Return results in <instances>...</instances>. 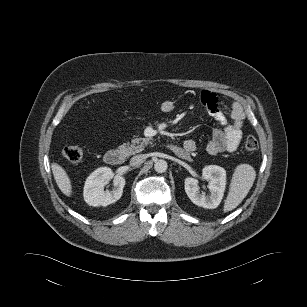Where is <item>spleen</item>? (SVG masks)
Returning <instances> with one entry per match:
<instances>
[{
    "instance_id": "1",
    "label": "spleen",
    "mask_w": 307,
    "mask_h": 307,
    "mask_svg": "<svg viewBox=\"0 0 307 307\" xmlns=\"http://www.w3.org/2000/svg\"><path fill=\"white\" fill-rule=\"evenodd\" d=\"M256 172L249 164H240L235 168L232 176L230 190L224 203V212L235 209L247 196L251 189Z\"/></svg>"
}]
</instances>
